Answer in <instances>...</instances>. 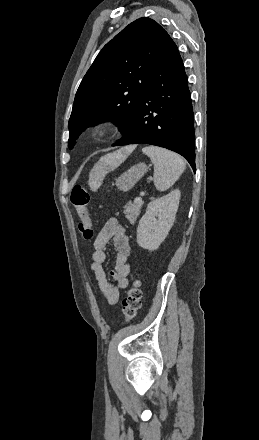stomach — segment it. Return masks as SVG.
I'll return each instance as SVG.
<instances>
[{
  "label": "stomach",
  "instance_id": "stomach-1",
  "mask_svg": "<svg viewBox=\"0 0 259 440\" xmlns=\"http://www.w3.org/2000/svg\"><path fill=\"white\" fill-rule=\"evenodd\" d=\"M146 172L147 166L144 163L132 166L116 179L117 188L124 192L131 190ZM89 183L93 185L92 177L90 178Z\"/></svg>",
  "mask_w": 259,
  "mask_h": 440
}]
</instances>
